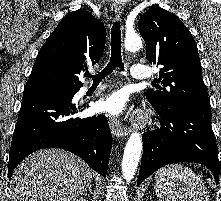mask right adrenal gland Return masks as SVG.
Returning <instances> with one entry per match:
<instances>
[{
  "label": "right adrenal gland",
  "mask_w": 221,
  "mask_h": 201,
  "mask_svg": "<svg viewBox=\"0 0 221 201\" xmlns=\"http://www.w3.org/2000/svg\"><path fill=\"white\" fill-rule=\"evenodd\" d=\"M87 192L89 193V195H91L92 194V187H90L89 190L86 191L85 195L87 194Z\"/></svg>",
  "instance_id": "obj_1"
}]
</instances>
